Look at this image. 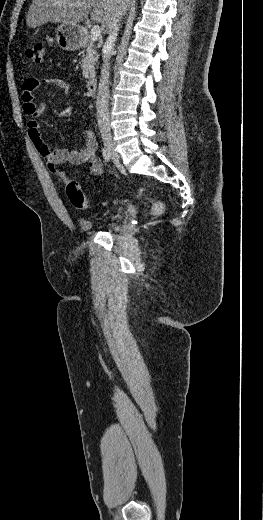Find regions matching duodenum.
<instances>
[{
    "mask_svg": "<svg viewBox=\"0 0 263 520\" xmlns=\"http://www.w3.org/2000/svg\"><path fill=\"white\" fill-rule=\"evenodd\" d=\"M97 86H98V82H97V78L96 77H90L88 80H87V91L89 93L90 96H95L96 93H97Z\"/></svg>",
    "mask_w": 263,
    "mask_h": 520,
    "instance_id": "duodenum-1",
    "label": "duodenum"
}]
</instances>
